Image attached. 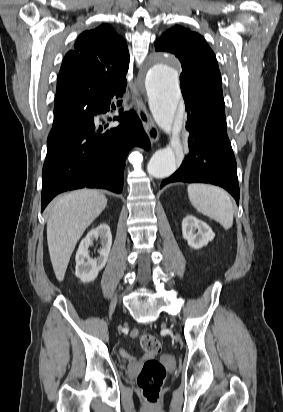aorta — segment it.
<instances>
[{
	"mask_svg": "<svg viewBox=\"0 0 283 412\" xmlns=\"http://www.w3.org/2000/svg\"><path fill=\"white\" fill-rule=\"evenodd\" d=\"M145 86L148 104L158 126L170 133L176 125L181 91L177 70L168 58L160 56L149 67ZM177 157L172 146L156 151L151 157L147 171L154 178H167L177 169Z\"/></svg>",
	"mask_w": 283,
	"mask_h": 412,
	"instance_id": "1",
	"label": "aorta"
}]
</instances>
